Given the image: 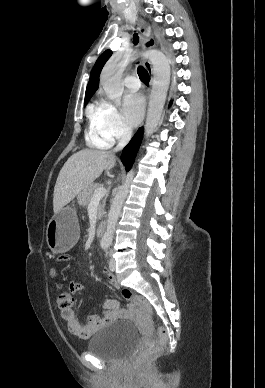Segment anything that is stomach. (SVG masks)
<instances>
[{
    "mask_svg": "<svg viewBox=\"0 0 265 388\" xmlns=\"http://www.w3.org/2000/svg\"><path fill=\"white\" fill-rule=\"evenodd\" d=\"M79 238V225L76 211L65 207L56 213L47 225L46 241L54 253L69 251Z\"/></svg>",
    "mask_w": 265,
    "mask_h": 388,
    "instance_id": "0dacf381",
    "label": "stomach"
}]
</instances>
